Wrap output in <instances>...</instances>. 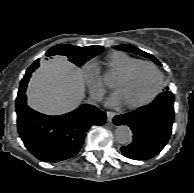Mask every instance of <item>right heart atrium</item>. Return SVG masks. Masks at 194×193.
<instances>
[{
  "instance_id": "obj_1",
  "label": "right heart atrium",
  "mask_w": 194,
  "mask_h": 193,
  "mask_svg": "<svg viewBox=\"0 0 194 193\" xmlns=\"http://www.w3.org/2000/svg\"><path fill=\"white\" fill-rule=\"evenodd\" d=\"M82 72L92 97L100 99L106 88L97 65L93 61H88L83 65Z\"/></svg>"
}]
</instances>
